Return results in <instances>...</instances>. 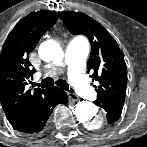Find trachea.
<instances>
[{"mask_svg": "<svg viewBox=\"0 0 147 147\" xmlns=\"http://www.w3.org/2000/svg\"><path fill=\"white\" fill-rule=\"evenodd\" d=\"M53 79L51 77H47L45 79H43L41 81V83H32V86L35 87V86H38V87H41V88H45V87H49L51 85H53ZM56 85L59 86L60 88L68 91L69 90V84L65 81V80H62V79H59L56 81Z\"/></svg>", "mask_w": 147, "mask_h": 147, "instance_id": "1", "label": "trachea"}]
</instances>
